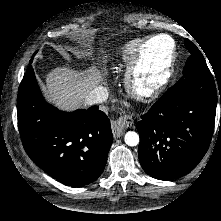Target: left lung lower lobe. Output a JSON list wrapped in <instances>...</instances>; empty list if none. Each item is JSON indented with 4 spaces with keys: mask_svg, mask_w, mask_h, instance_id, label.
Listing matches in <instances>:
<instances>
[{
    "mask_svg": "<svg viewBox=\"0 0 221 221\" xmlns=\"http://www.w3.org/2000/svg\"><path fill=\"white\" fill-rule=\"evenodd\" d=\"M219 95L221 103L213 76L182 77L142 116L139 161L148 175L173 180L197 166L212 139Z\"/></svg>",
    "mask_w": 221,
    "mask_h": 221,
    "instance_id": "0a47b994",
    "label": "left lung lower lobe"
}]
</instances>
